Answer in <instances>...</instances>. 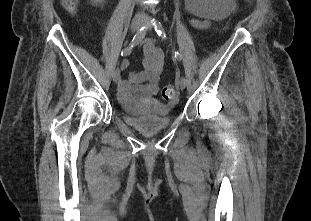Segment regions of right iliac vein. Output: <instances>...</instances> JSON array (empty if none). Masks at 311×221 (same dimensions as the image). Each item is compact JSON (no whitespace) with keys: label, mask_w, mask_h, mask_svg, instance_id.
I'll return each mask as SVG.
<instances>
[{"label":"right iliac vein","mask_w":311,"mask_h":221,"mask_svg":"<svg viewBox=\"0 0 311 221\" xmlns=\"http://www.w3.org/2000/svg\"><path fill=\"white\" fill-rule=\"evenodd\" d=\"M142 25H143L142 21L134 20L131 23V27H130L131 32L134 33L136 31H138L142 27ZM112 77H113V81L115 83H117L120 80V70L118 68L114 70Z\"/></svg>","instance_id":"right-iliac-vein-1"}]
</instances>
